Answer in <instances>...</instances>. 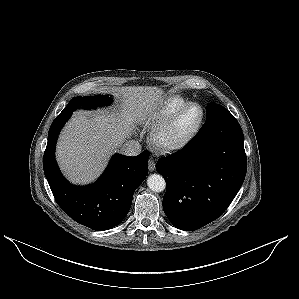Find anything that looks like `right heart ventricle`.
Returning <instances> with one entry per match:
<instances>
[{
  "mask_svg": "<svg viewBox=\"0 0 299 299\" xmlns=\"http://www.w3.org/2000/svg\"><path fill=\"white\" fill-rule=\"evenodd\" d=\"M188 101L181 96L172 95L165 98L159 106L151 113L149 123L152 126L158 125L160 122L168 118L177 109L186 104Z\"/></svg>",
  "mask_w": 299,
  "mask_h": 299,
  "instance_id": "right-heart-ventricle-1",
  "label": "right heart ventricle"
}]
</instances>
